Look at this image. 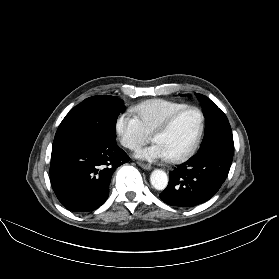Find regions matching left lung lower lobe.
I'll list each match as a JSON object with an SVG mask.
<instances>
[{
  "label": "left lung lower lobe",
  "mask_w": 279,
  "mask_h": 279,
  "mask_svg": "<svg viewBox=\"0 0 279 279\" xmlns=\"http://www.w3.org/2000/svg\"><path fill=\"white\" fill-rule=\"evenodd\" d=\"M233 154L209 147L170 172L163 202L177 207H193L213 197L227 178Z\"/></svg>",
  "instance_id": "1"
}]
</instances>
